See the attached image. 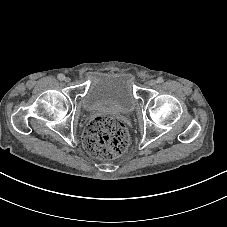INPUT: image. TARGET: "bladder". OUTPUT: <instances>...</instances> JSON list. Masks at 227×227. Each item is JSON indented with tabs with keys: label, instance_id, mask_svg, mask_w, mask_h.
Segmentation results:
<instances>
[{
	"label": "bladder",
	"instance_id": "obj_1",
	"mask_svg": "<svg viewBox=\"0 0 227 227\" xmlns=\"http://www.w3.org/2000/svg\"><path fill=\"white\" fill-rule=\"evenodd\" d=\"M133 80L134 76L128 72H93L82 96L81 112L97 113L111 109L120 116H128L138 101Z\"/></svg>",
	"mask_w": 227,
	"mask_h": 227
}]
</instances>
